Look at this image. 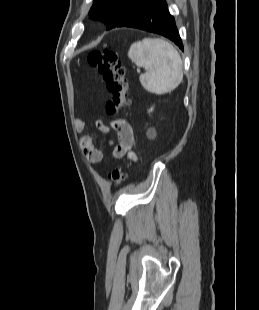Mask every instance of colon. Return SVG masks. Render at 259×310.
Masks as SVG:
<instances>
[{
    "mask_svg": "<svg viewBox=\"0 0 259 310\" xmlns=\"http://www.w3.org/2000/svg\"><path fill=\"white\" fill-rule=\"evenodd\" d=\"M88 60L102 75L111 94V99L105 105V113L113 116L128 108V82L118 53L111 48H103L91 52ZM128 172V166H120L110 173V178L114 183L120 184L126 179Z\"/></svg>",
    "mask_w": 259,
    "mask_h": 310,
    "instance_id": "5ec220e1",
    "label": "colon"
}]
</instances>
